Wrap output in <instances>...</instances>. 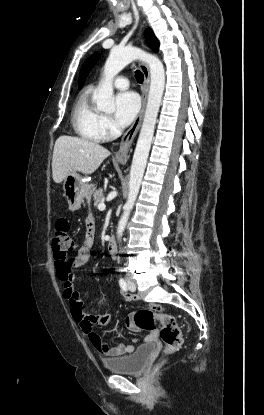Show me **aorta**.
Masks as SVG:
<instances>
[{"instance_id":"762f6f07","label":"aorta","mask_w":264,"mask_h":415,"mask_svg":"<svg viewBox=\"0 0 264 415\" xmlns=\"http://www.w3.org/2000/svg\"><path fill=\"white\" fill-rule=\"evenodd\" d=\"M133 60L146 62L150 69V89L143 124L133 155L129 192L123 207V214L118 222L117 238L120 239L127 225L130 213L140 190L144 171L153 140L154 129L165 87V71L162 62L154 55L137 47H115L110 51L104 65L103 79L94 94L97 108L100 111L112 112L115 108L113 78Z\"/></svg>"}]
</instances>
